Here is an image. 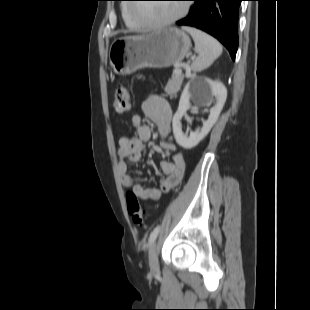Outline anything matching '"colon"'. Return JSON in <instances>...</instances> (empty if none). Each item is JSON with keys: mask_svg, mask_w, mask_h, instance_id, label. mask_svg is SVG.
<instances>
[{"mask_svg": "<svg viewBox=\"0 0 310 310\" xmlns=\"http://www.w3.org/2000/svg\"><path fill=\"white\" fill-rule=\"evenodd\" d=\"M130 107V94L127 87L120 83L114 91L113 109L117 114H125ZM127 210L133 222L139 226H144V211L140 205L138 196L133 191L126 193Z\"/></svg>", "mask_w": 310, "mask_h": 310, "instance_id": "obj_1", "label": "colon"}]
</instances>
